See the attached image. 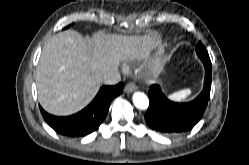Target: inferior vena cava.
Listing matches in <instances>:
<instances>
[{
	"instance_id": "1",
	"label": "inferior vena cava",
	"mask_w": 249,
	"mask_h": 165,
	"mask_svg": "<svg viewBox=\"0 0 249 165\" xmlns=\"http://www.w3.org/2000/svg\"><path fill=\"white\" fill-rule=\"evenodd\" d=\"M102 81L106 85H115L121 81V75L117 71H109L102 75Z\"/></svg>"
}]
</instances>
